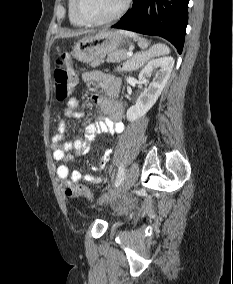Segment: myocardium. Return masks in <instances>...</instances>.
I'll return each mask as SVG.
<instances>
[{
	"label": "myocardium",
	"instance_id": "1",
	"mask_svg": "<svg viewBox=\"0 0 233 284\" xmlns=\"http://www.w3.org/2000/svg\"><path fill=\"white\" fill-rule=\"evenodd\" d=\"M128 6H129V0H123L120 8L113 15L105 19L97 20V19H91L84 14L82 10V0H75V13L77 17L86 25L99 26L111 23L119 19L126 12Z\"/></svg>",
	"mask_w": 233,
	"mask_h": 284
}]
</instances>
